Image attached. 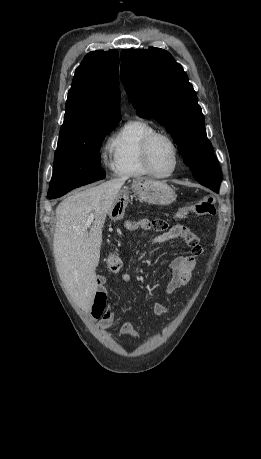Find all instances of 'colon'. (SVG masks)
<instances>
[{
  "label": "colon",
  "instance_id": "1",
  "mask_svg": "<svg viewBox=\"0 0 261 459\" xmlns=\"http://www.w3.org/2000/svg\"><path fill=\"white\" fill-rule=\"evenodd\" d=\"M215 212V198L212 195H205L195 204L189 207H180L176 211V216L180 219H187L190 217H200L204 215H211ZM150 227L158 232L166 231L168 224L161 219H155L150 223ZM105 265L110 273H117L122 269L123 263L121 258L115 254L110 253L105 259ZM104 311V299L97 297L92 306V314L94 317H99Z\"/></svg>",
  "mask_w": 261,
  "mask_h": 459
}]
</instances>
